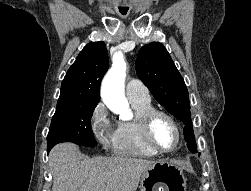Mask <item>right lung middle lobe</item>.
<instances>
[{
	"instance_id": "dd1d6c3e",
	"label": "right lung middle lobe",
	"mask_w": 251,
	"mask_h": 191,
	"mask_svg": "<svg viewBox=\"0 0 251 191\" xmlns=\"http://www.w3.org/2000/svg\"><path fill=\"white\" fill-rule=\"evenodd\" d=\"M97 104L57 107L47 136V152L61 142L93 147L97 145L91 118Z\"/></svg>"
}]
</instances>
